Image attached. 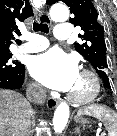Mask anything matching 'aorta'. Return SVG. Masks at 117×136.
I'll use <instances>...</instances> for the list:
<instances>
[{
	"label": "aorta",
	"mask_w": 117,
	"mask_h": 136,
	"mask_svg": "<svg viewBox=\"0 0 117 136\" xmlns=\"http://www.w3.org/2000/svg\"><path fill=\"white\" fill-rule=\"evenodd\" d=\"M50 15L54 21L64 22L69 18V10L63 4H56L51 7ZM69 113L70 109L66 103L62 102L57 106L53 117V129L56 134L64 130L68 122Z\"/></svg>",
	"instance_id": "obj_1"
}]
</instances>
